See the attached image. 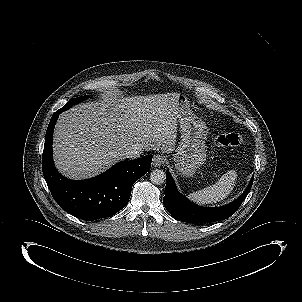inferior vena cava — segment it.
I'll return each instance as SVG.
<instances>
[{"label": "inferior vena cava", "mask_w": 302, "mask_h": 302, "mask_svg": "<svg viewBox=\"0 0 302 302\" xmlns=\"http://www.w3.org/2000/svg\"><path fill=\"white\" fill-rule=\"evenodd\" d=\"M143 153V150L138 147H133L130 149H125L121 152L122 158H128V159H136L140 157V155Z\"/></svg>", "instance_id": "602c4592"}]
</instances>
